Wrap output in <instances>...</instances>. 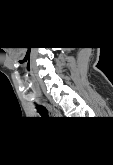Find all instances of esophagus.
Returning <instances> with one entry per match:
<instances>
[{"label": "esophagus", "instance_id": "esophagus-1", "mask_svg": "<svg viewBox=\"0 0 113 165\" xmlns=\"http://www.w3.org/2000/svg\"><path fill=\"white\" fill-rule=\"evenodd\" d=\"M47 107L49 108L52 115H54V116L60 115V113L55 108H53L51 105L47 104Z\"/></svg>", "mask_w": 113, "mask_h": 165}]
</instances>
